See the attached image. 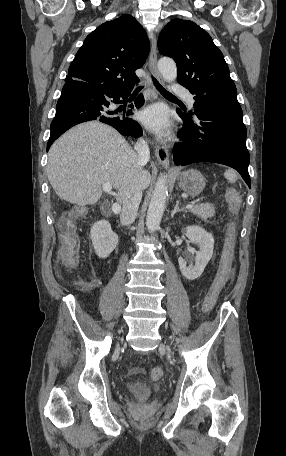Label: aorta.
<instances>
[{"label":"aorta","instance_id":"762f6f07","mask_svg":"<svg viewBox=\"0 0 286 456\" xmlns=\"http://www.w3.org/2000/svg\"><path fill=\"white\" fill-rule=\"evenodd\" d=\"M158 69L166 82H173L177 77V67L170 58H161L158 61ZM168 195L167 176L161 174L155 184L152 198L149 204L146 226L149 232H154L160 226L165 210L166 198Z\"/></svg>","mask_w":286,"mask_h":456}]
</instances>
